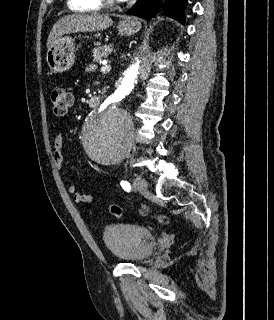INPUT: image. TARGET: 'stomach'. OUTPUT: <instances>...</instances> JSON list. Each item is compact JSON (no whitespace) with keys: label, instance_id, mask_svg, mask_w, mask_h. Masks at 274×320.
<instances>
[{"label":"stomach","instance_id":"stomach-1","mask_svg":"<svg viewBox=\"0 0 274 320\" xmlns=\"http://www.w3.org/2000/svg\"><path fill=\"white\" fill-rule=\"evenodd\" d=\"M122 22H126V26H118V32L121 36H133L137 34L141 28L140 22L131 20V18H122ZM75 44L70 36H63L54 46L48 48L46 62L55 74H62L66 70H70L75 64Z\"/></svg>","mask_w":274,"mask_h":320}]
</instances>
